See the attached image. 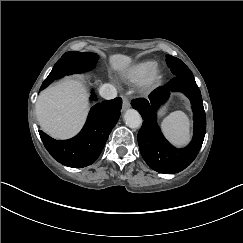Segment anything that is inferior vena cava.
<instances>
[{"mask_svg":"<svg viewBox=\"0 0 243 243\" xmlns=\"http://www.w3.org/2000/svg\"><path fill=\"white\" fill-rule=\"evenodd\" d=\"M99 94L104 99H114L117 96V90L112 84H103L99 89Z\"/></svg>","mask_w":243,"mask_h":243,"instance_id":"1","label":"inferior vena cava"}]
</instances>
